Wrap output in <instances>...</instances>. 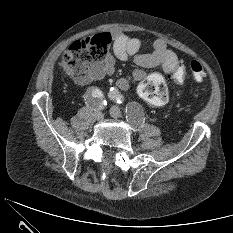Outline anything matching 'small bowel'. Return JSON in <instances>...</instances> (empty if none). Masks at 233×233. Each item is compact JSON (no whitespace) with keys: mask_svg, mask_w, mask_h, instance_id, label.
Instances as JSON below:
<instances>
[{"mask_svg":"<svg viewBox=\"0 0 233 233\" xmlns=\"http://www.w3.org/2000/svg\"><path fill=\"white\" fill-rule=\"evenodd\" d=\"M112 39L113 54L106 57L102 74L113 73L116 58L125 61L132 57L141 68L161 66L167 75H170L180 62L176 53L162 40H156L151 51L141 52L142 42L135 36L115 31L112 33ZM145 77L144 70L135 69L130 75L119 78L117 85L123 90H128Z\"/></svg>","mask_w":233,"mask_h":233,"instance_id":"obj_1","label":"small bowel"}]
</instances>
